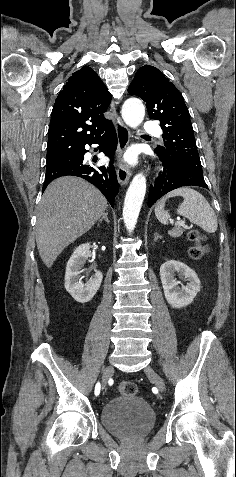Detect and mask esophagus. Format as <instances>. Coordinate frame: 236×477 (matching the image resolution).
Segmentation results:
<instances>
[{"instance_id":"esophagus-1","label":"esophagus","mask_w":236,"mask_h":477,"mask_svg":"<svg viewBox=\"0 0 236 477\" xmlns=\"http://www.w3.org/2000/svg\"><path fill=\"white\" fill-rule=\"evenodd\" d=\"M113 114H114V119H113V124L116 129L117 133V138H118V166H117V178L118 181L121 185H126L131 177V170L130 168L121 162L120 158L129 145L130 138H131V133L130 130L125 126V124L122 122L121 118L118 116L116 113L115 107H111Z\"/></svg>"}]
</instances>
